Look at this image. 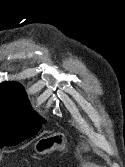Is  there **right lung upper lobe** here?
<instances>
[{"instance_id":"obj_1","label":"right lung upper lobe","mask_w":125,"mask_h":167,"mask_svg":"<svg viewBox=\"0 0 125 167\" xmlns=\"http://www.w3.org/2000/svg\"><path fill=\"white\" fill-rule=\"evenodd\" d=\"M0 97L13 98V99H27L24 87L17 82L1 83Z\"/></svg>"}]
</instances>
